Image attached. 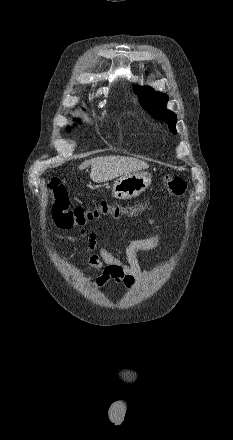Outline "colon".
<instances>
[{"label":"colon","instance_id":"colon-1","mask_svg":"<svg viewBox=\"0 0 233 440\" xmlns=\"http://www.w3.org/2000/svg\"><path fill=\"white\" fill-rule=\"evenodd\" d=\"M164 188L175 196L183 195L187 190V182L179 176L165 175L162 177ZM47 189L53 197L52 217L55 224L62 229L83 227L88 222L102 216L118 219L124 215L133 217L141 214L148 201L134 205L122 206L103 200L91 207H70V199L65 186L56 178L47 182Z\"/></svg>","mask_w":233,"mask_h":440}]
</instances>
